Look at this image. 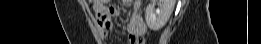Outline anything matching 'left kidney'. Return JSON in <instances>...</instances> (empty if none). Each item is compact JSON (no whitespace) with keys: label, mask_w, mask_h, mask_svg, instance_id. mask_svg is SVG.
Wrapping results in <instances>:
<instances>
[{"label":"left kidney","mask_w":261,"mask_h":44,"mask_svg":"<svg viewBox=\"0 0 261 44\" xmlns=\"http://www.w3.org/2000/svg\"><path fill=\"white\" fill-rule=\"evenodd\" d=\"M152 0L145 11V20L148 27L153 31L160 30L168 21L175 5V0Z\"/></svg>","instance_id":"5707ae66"}]
</instances>
